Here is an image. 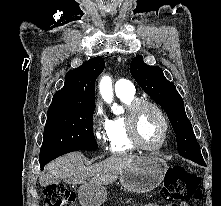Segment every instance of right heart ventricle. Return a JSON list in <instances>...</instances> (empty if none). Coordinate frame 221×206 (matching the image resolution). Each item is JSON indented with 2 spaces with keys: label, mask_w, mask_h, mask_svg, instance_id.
Wrapping results in <instances>:
<instances>
[{
  "label": "right heart ventricle",
  "mask_w": 221,
  "mask_h": 206,
  "mask_svg": "<svg viewBox=\"0 0 221 206\" xmlns=\"http://www.w3.org/2000/svg\"><path fill=\"white\" fill-rule=\"evenodd\" d=\"M116 94L120 101L127 108L137 100L134 93ZM107 133L109 149L112 153L122 154L136 149L129 137L126 114L119 115L114 117L113 119L108 120Z\"/></svg>",
  "instance_id": "right-heart-ventricle-1"
}]
</instances>
